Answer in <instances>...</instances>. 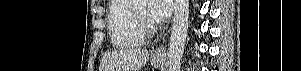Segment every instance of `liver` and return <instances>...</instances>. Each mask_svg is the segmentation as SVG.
Listing matches in <instances>:
<instances>
[{
  "mask_svg": "<svg viewBox=\"0 0 301 71\" xmlns=\"http://www.w3.org/2000/svg\"><path fill=\"white\" fill-rule=\"evenodd\" d=\"M149 59V52L141 48L115 50L102 61L103 71H139Z\"/></svg>",
  "mask_w": 301,
  "mask_h": 71,
  "instance_id": "6515ba94",
  "label": "liver"
}]
</instances>
